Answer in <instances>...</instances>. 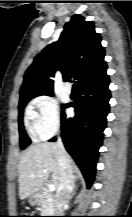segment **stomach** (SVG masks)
<instances>
[{"label": "stomach", "instance_id": "stomach-1", "mask_svg": "<svg viewBox=\"0 0 132 217\" xmlns=\"http://www.w3.org/2000/svg\"><path fill=\"white\" fill-rule=\"evenodd\" d=\"M42 201V196L40 194V192H36L34 194H31L29 196V199H28V202L31 204V205H37V204H40V202Z\"/></svg>", "mask_w": 132, "mask_h": 217}]
</instances>
